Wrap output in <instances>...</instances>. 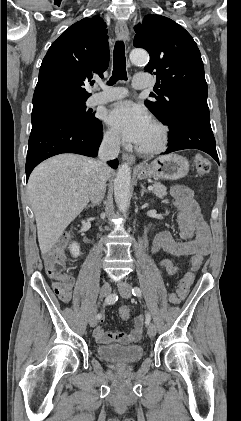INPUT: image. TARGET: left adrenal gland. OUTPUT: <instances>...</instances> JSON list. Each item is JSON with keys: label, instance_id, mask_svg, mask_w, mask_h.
Wrapping results in <instances>:
<instances>
[{"label": "left adrenal gland", "instance_id": "a2214340", "mask_svg": "<svg viewBox=\"0 0 241 421\" xmlns=\"http://www.w3.org/2000/svg\"><path fill=\"white\" fill-rule=\"evenodd\" d=\"M141 197H143L144 193H148V190L145 189V186L143 184H141Z\"/></svg>", "mask_w": 241, "mask_h": 421}]
</instances>
